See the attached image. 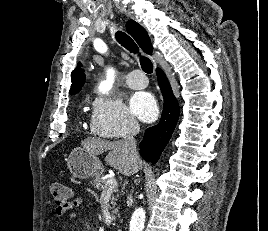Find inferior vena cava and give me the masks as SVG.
Returning <instances> with one entry per match:
<instances>
[{
	"label": "inferior vena cava",
	"mask_w": 268,
	"mask_h": 231,
	"mask_svg": "<svg viewBox=\"0 0 268 231\" xmlns=\"http://www.w3.org/2000/svg\"><path fill=\"white\" fill-rule=\"evenodd\" d=\"M140 127L137 122H132L127 130V134L124 138V146L129 153V157L132 162L139 161L138 151L136 149V140L134 136L139 133Z\"/></svg>",
	"instance_id": "obj_1"
}]
</instances>
